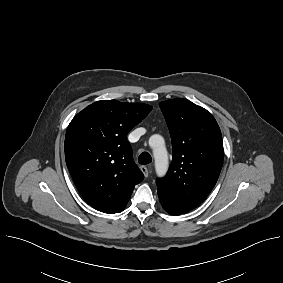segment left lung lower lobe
Wrapping results in <instances>:
<instances>
[{
  "label": "left lung lower lobe",
  "mask_w": 283,
  "mask_h": 283,
  "mask_svg": "<svg viewBox=\"0 0 283 283\" xmlns=\"http://www.w3.org/2000/svg\"><path fill=\"white\" fill-rule=\"evenodd\" d=\"M159 196V200L161 202L162 207L170 214L172 215H179L181 214L180 212H178L177 210H175L174 208H172L168 202V200L160 193H158Z\"/></svg>",
  "instance_id": "1"
}]
</instances>
